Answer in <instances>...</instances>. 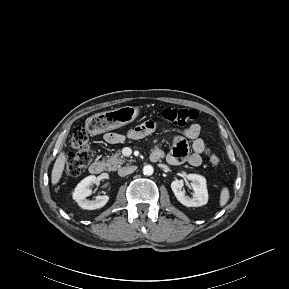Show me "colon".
Returning <instances> with one entry per match:
<instances>
[{
    "label": "colon",
    "mask_w": 289,
    "mask_h": 289,
    "mask_svg": "<svg viewBox=\"0 0 289 289\" xmlns=\"http://www.w3.org/2000/svg\"><path fill=\"white\" fill-rule=\"evenodd\" d=\"M162 118L174 125L184 126L199 118L198 111L183 108H165ZM69 146L74 150L68 155L65 167L67 177L79 176L92 160V152L89 146L88 134L86 129L77 127L73 130L69 140ZM209 161L213 165L220 163L219 157L211 150H207Z\"/></svg>",
    "instance_id": "colon-1"
}]
</instances>
